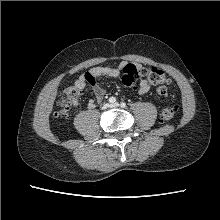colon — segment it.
<instances>
[{"label":"colon","mask_w":220,"mask_h":220,"mask_svg":"<svg viewBox=\"0 0 220 220\" xmlns=\"http://www.w3.org/2000/svg\"><path fill=\"white\" fill-rule=\"evenodd\" d=\"M139 78H144L149 83L155 85L160 96H167L169 94L171 80L158 68L137 67L134 64H127L123 67L122 82L124 85L133 87ZM80 94L81 90L77 86L65 88L59 95L58 115L61 117L67 116L79 99ZM175 113V107H166L162 110L160 118L163 122H167L174 117Z\"/></svg>","instance_id":"1"}]
</instances>
